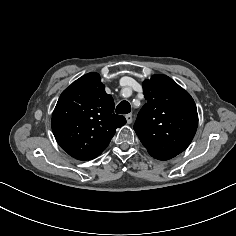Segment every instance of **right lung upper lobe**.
I'll use <instances>...</instances> for the list:
<instances>
[{
  "mask_svg": "<svg viewBox=\"0 0 236 236\" xmlns=\"http://www.w3.org/2000/svg\"><path fill=\"white\" fill-rule=\"evenodd\" d=\"M98 73L73 82L59 97L52 114V131L61 148L78 160H92L108 146L126 119L114 113V101Z\"/></svg>",
  "mask_w": 236,
  "mask_h": 236,
  "instance_id": "cb5924a9",
  "label": "right lung upper lobe"
}]
</instances>
